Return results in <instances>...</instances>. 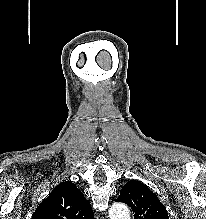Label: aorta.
Listing matches in <instances>:
<instances>
[{"instance_id": "762f6f07", "label": "aorta", "mask_w": 206, "mask_h": 219, "mask_svg": "<svg viewBox=\"0 0 206 219\" xmlns=\"http://www.w3.org/2000/svg\"><path fill=\"white\" fill-rule=\"evenodd\" d=\"M110 219H131L130 211L125 204L115 203L109 210Z\"/></svg>"}]
</instances>
